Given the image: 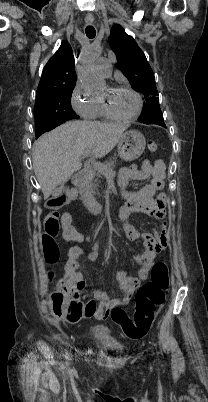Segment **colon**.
<instances>
[{
	"label": "colon",
	"mask_w": 208,
	"mask_h": 402,
	"mask_svg": "<svg viewBox=\"0 0 208 402\" xmlns=\"http://www.w3.org/2000/svg\"><path fill=\"white\" fill-rule=\"evenodd\" d=\"M147 149L149 152L155 153L157 144L149 141ZM44 228L45 232L42 233V240L46 242L42 249V254L47 265H57L61 249L58 247V243L53 240L60 235L62 228L64 229L63 237L65 238H76L77 231L76 229H68L69 224L66 221H61L55 215L46 216ZM78 250V246L69 248L68 254L75 255ZM79 253L84 254L85 250L80 249ZM68 261L72 262L73 258L69 256ZM48 279L54 280L55 274L49 273ZM168 286L169 272L167 263L165 261L156 262L151 269L150 280L136 292L133 319L127 315L121 302L104 304L94 299L84 300L83 297H75L74 284L73 282H67L66 278L59 279V286H56L54 292L50 294L49 306L52 308L53 314H63L67 319L87 317L95 312L110 315L127 338L140 339L148 333L158 308L164 304L165 292ZM76 292L80 296L81 293ZM100 307H107L108 311L100 312Z\"/></svg>",
	"instance_id": "colon-1"
}]
</instances>
